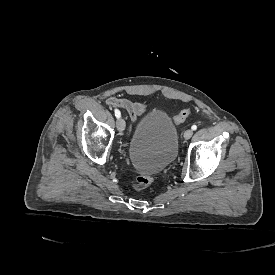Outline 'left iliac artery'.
I'll list each match as a JSON object with an SVG mask.
<instances>
[{
	"mask_svg": "<svg viewBox=\"0 0 275 275\" xmlns=\"http://www.w3.org/2000/svg\"><path fill=\"white\" fill-rule=\"evenodd\" d=\"M191 129H192V130H196V129H197V126H196V125H193V126L191 127Z\"/></svg>",
	"mask_w": 275,
	"mask_h": 275,
	"instance_id": "1",
	"label": "left iliac artery"
}]
</instances>
